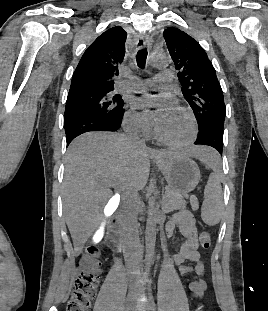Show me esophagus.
Returning <instances> with one entry per match:
<instances>
[{
  "label": "esophagus",
  "instance_id": "1",
  "mask_svg": "<svg viewBox=\"0 0 268 311\" xmlns=\"http://www.w3.org/2000/svg\"><path fill=\"white\" fill-rule=\"evenodd\" d=\"M148 43H149V39L147 38V36L141 33L137 38V42H136L137 48L142 49Z\"/></svg>",
  "mask_w": 268,
  "mask_h": 311
}]
</instances>
